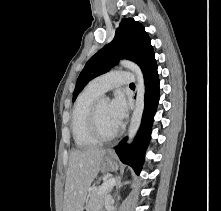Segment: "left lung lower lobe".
<instances>
[{
  "label": "left lung lower lobe",
  "instance_id": "1",
  "mask_svg": "<svg viewBox=\"0 0 221 211\" xmlns=\"http://www.w3.org/2000/svg\"><path fill=\"white\" fill-rule=\"evenodd\" d=\"M142 71L144 75L146 91L141 128L132 146H128L126 144L127 138H124L115 147V151L121 161L130 165L137 174H139L142 169L144 153L150 140L151 126L159 102V77L154 56H152L147 61Z\"/></svg>",
  "mask_w": 221,
  "mask_h": 211
}]
</instances>
